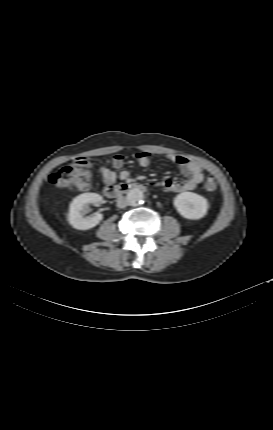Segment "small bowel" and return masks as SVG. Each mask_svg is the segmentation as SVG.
Wrapping results in <instances>:
<instances>
[{"instance_id": "small-bowel-1", "label": "small bowel", "mask_w": 273, "mask_h": 430, "mask_svg": "<svg viewBox=\"0 0 273 430\" xmlns=\"http://www.w3.org/2000/svg\"><path fill=\"white\" fill-rule=\"evenodd\" d=\"M166 157L179 167L186 179L184 181L162 180L154 182V186L163 188L166 192H184L195 189L203 181L204 172L200 164L177 154H166ZM136 158L140 166L147 167L151 161V154L145 151L139 152ZM88 161L90 163L89 159L82 160V163H88ZM124 162L123 155L117 154L112 157L111 165L114 169L119 170L118 173L107 166L99 167V173L106 184H113L117 179L125 180L129 177V171L121 169Z\"/></svg>"}]
</instances>
